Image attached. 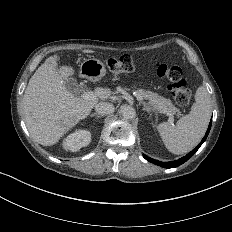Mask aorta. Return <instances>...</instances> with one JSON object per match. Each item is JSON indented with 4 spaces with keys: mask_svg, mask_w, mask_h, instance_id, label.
<instances>
[{
    "mask_svg": "<svg viewBox=\"0 0 232 232\" xmlns=\"http://www.w3.org/2000/svg\"><path fill=\"white\" fill-rule=\"evenodd\" d=\"M121 114L125 120H132L136 116V111L130 105H123L121 106Z\"/></svg>",
    "mask_w": 232,
    "mask_h": 232,
    "instance_id": "762f6f07",
    "label": "aorta"
}]
</instances>
